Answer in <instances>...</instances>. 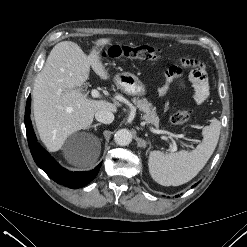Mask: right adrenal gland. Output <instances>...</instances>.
<instances>
[{"mask_svg": "<svg viewBox=\"0 0 247 247\" xmlns=\"http://www.w3.org/2000/svg\"><path fill=\"white\" fill-rule=\"evenodd\" d=\"M100 125H101V123H96L94 125L89 126L88 129L89 128H94V130L96 131L97 130V127L100 126Z\"/></svg>", "mask_w": 247, "mask_h": 247, "instance_id": "obj_1", "label": "right adrenal gland"}]
</instances>
